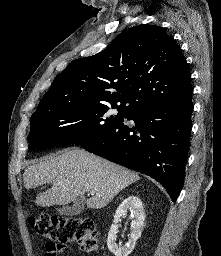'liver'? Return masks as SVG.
Returning <instances> with one entry per match:
<instances>
[{"label": "liver", "instance_id": "6515ba94", "mask_svg": "<svg viewBox=\"0 0 221 256\" xmlns=\"http://www.w3.org/2000/svg\"><path fill=\"white\" fill-rule=\"evenodd\" d=\"M139 179L133 171L79 148L66 149L44 158L28 166L23 174L26 189L46 183L52 185L36 196L35 204L40 207L67 205L93 190L96 195L88 198L86 205L91 209H101Z\"/></svg>", "mask_w": 221, "mask_h": 256}]
</instances>
